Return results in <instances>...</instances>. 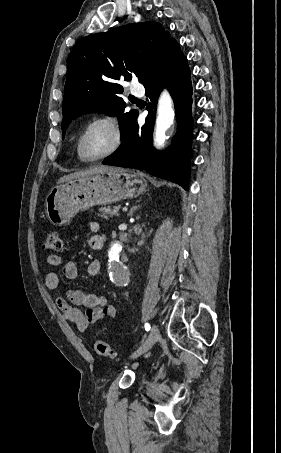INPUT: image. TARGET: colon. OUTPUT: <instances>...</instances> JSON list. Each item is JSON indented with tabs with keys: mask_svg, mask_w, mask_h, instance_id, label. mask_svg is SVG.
Here are the masks:
<instances>
[{
	"mask_svg": "<svg viewBox=\"0 0 281 453\" xmlns=\"http://www.w3.org/2000/svg\"><path fill=\"white\" fill-rule=\"evenodd\" d=\"M42 249L45 252H59L60 251V231L49 230L46 234V238L42 243ZM94 351L96 354L104 359H112L113 351L111 347L104 341H96L93 344Z\"/></svg>",
	"mask_w": 281,
	"mask_h": 453,
	"instance_id": "5ec220e1",
	"label": "colon"
}]
</instances>
